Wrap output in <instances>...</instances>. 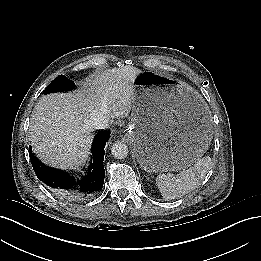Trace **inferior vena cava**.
<instances>
[{
	"label": "inferior vena cava",
	"mask_w": 261,
	"mask_h": 261,
	"mask_svg": "<svg viewBox=\"0 0 261 261\" xmlns=\"http://www.w3.org/2000/svg\"><path fill=\"white\" fill-rule=\"evenodd\" d=\"M90 123L94 129H105L110 123V118L103 113L98 112L92 115Z\"/></svg>",
	"instance_id": "inferior-vena-cava-1"
}]
</instances>
